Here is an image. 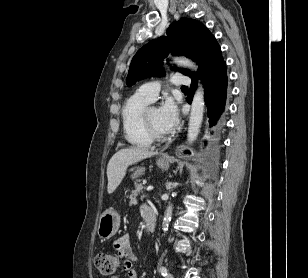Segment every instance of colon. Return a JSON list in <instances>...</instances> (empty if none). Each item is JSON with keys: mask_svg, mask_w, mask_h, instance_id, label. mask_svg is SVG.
Segmentation results:
<instances>
[{"mask_svg": "<svg viewBox=\"0 0 308 278\" xmlns=\"http://www.w3.org/2000/svg\"><path fill=\"white\" fill-rule=\"evenodd\" d=\"M95 265L101 274L111 276L116 272L119 260L113 253H99L95 258Z\"/></svg>", "mask_w": 308, "mask_h": 278, "instance_id": "1", "label": "colon"}]
</instances>
